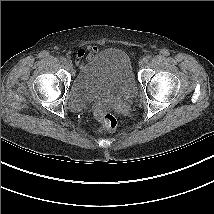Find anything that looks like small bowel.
<instances>
[{
  "label": "small bowel",
  "mask_w": 214,
  "mask_h": 214,
  "mask_svg": "<svg viewBox=\"0 0 214 214\" xmlns=\"http://www.w3.org/2000/svg\"><path fill=\"white\" fill-rule=\"evenodd\" d=\"M99 53V48L96 45H88L78 49L75 60L77 67L81 69L85 65V59L92 61Z\"/></svg>",
  "instance_id": "small-bowel-1"
}]
</instances>
